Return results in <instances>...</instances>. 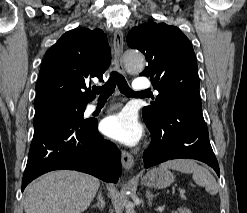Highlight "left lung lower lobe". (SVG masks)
I'll return each instance as SVG.
<instances>
[{
  "label": "left lung lower lobe",
  "instance_id": "1",
  "mask_svg": "<svg viewBox=\"0 0 247 213\" xmlns=\"http://www.w3.org/2000/svg\"><path fill=\"white\" fill-rule=\"evenodd\" d=\"M152 141L143 156L144 167L171 159L200 160L211 166L219 176V165L209 142L202 111L172 100L154 126H147Z\"/></svg>",
  "mask_w": 247,
  "mask_h": 213
}]
</instances>
